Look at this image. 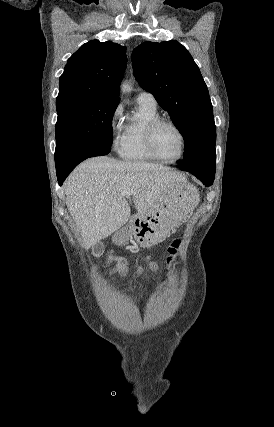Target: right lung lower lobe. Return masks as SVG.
Here are the masks:
<instances>
[{
	"mask_svg": "<svg viewBox=\"0 0 274 427\" xmlns=\"http://www.w3.org/2000/svg\"><path fill=\"white\" fill-rule=\"evenodd\" d=\"M111 147H101V148H96L93 149L91 151H89L87 154L79 157L78 159L74 160L72 163L60 167V168H56L57 171V178H58V183L61 186L62 183L64 182V180L66 179V177L69 175V173L83 160L89 158V157H95V156H102V155H106L110 152Z\"/></svg>",
	"mask_w": 274,
	"mask_h": 427,
	"instance_id": "98d812e1",
	"label": "right lung lower lobe"
}]
</instances>
